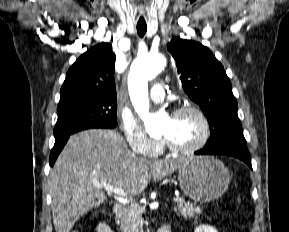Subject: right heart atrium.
<instances>
[{
    "label": "right heart atrium",
    "instance_id": "d8ad5b80",
    "mask_svg": "<svg viewBox=\"0 0 289 232\" xmlns=\"http://www.w3.org/2000/svg\"><path fill=\"white\" fill-rule=\"evenodd\" d=\"M121 128L128 145L134 152L150 157L160 152L162 141L148 136L134 118L123 116Z\"/></svg>",
    "mask_w": 289,
    "mask_h": 232
}]
</instances>
